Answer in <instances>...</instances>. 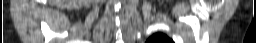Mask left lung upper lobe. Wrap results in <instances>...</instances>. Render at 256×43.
Here are the masks:
<instances>
[{"label": "left lung upper lobe", "mask_w": 256, "mask_h": 43, "mask_svg": "<svg viewBox=\"0 0 256 43\" xmlns=\"http://www.w3.org/2000/svg\"><path fill=\"white\" fill-rule=\"evenodd\" d=\"M146 43H173V41L166 35L161 33H156L152 35Z\"/></svg>", "instance_id": "left-lung-upper-lobe-1"}]
</instances>
